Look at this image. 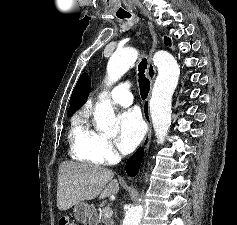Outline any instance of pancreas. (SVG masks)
<instances>
[{
  "label": "pancreas",
  "instance_id": "pancreas-1",
  "mask_svg": "<svg viewBox=\"0 0 237 225\" xmlns=\"http://www.w3.org/2000/svg\"><path fill=\"white\" fill-rule=\"evenodd\" d=\"M100 221L104 225H114V221L111 218H106L103 213L100 216Z\"/></svg>",
  "mask_w": 237,
  "mask_h": 225
}]
</instances>
